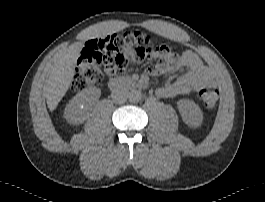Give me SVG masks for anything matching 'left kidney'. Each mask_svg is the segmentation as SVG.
<instances>
[{
    "label": "left kidney",
    "instance_id": "1",
    "mask_svg": "<svg viewBox=\"0 0 265 202\" xmlns=\"http://www.w3.org/2000/svg\"><path fill=\"white\" fill-rule=\"evenodd\" d=\"M177 107L185 124L193 128L201 126L203 122V113L194 101L181 99L177 102Z\"/></svg>",
    "mask_w": 265,
    "mask_h": 202
}]
</instances>
